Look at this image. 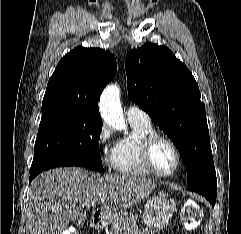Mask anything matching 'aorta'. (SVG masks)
Returning <instances> with one entry per match:
<instances>
[{
  "label": "aorta",
  "instance_id": "1",
  "mask_svg": "<svg viewBox=\"0 0 241 234\" xmlns=\"http://www.w3.org/2000/svg\"><path fill=\"white\" fill-rule=\"evenodd\" d=\"M100 113L103 120L116 130H127L120 103V89L117 85H108L100 97Z\"/></svg>",
  "mask_w": 241,
  "mask_h": 234
}]
</instances>
